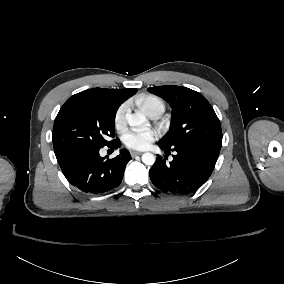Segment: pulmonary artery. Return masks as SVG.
I'll return each mask as SVG.
<instances>
[{"mask_svg":"<svg viewBox=\"0 0 284 284\" xmlns=\"http://www.w3.org/2000/svg\"><path fill=\"white\" fill-rule=\"evenodd\" d=\"M160 115H161V112H159V111L152 112V113L149 114V116L153 119L158 118Z\"/></svg>","mask_w":284,"mask_h":284,"instance_id":"e3ab8cb5","label":"pulmonary artery"}]
</instances>
